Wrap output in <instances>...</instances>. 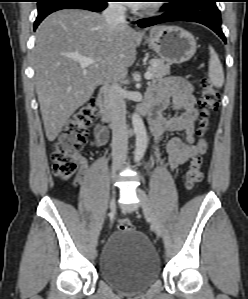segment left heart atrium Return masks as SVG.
Masks as SVG:
<instances>
[{
  "label": "left heart atrium",
  "mask_w": 248,
  "mask_h": 299,
  "mask_svg": "<svg viewBox=\"0 0 248 299\" xmlns=\"http://www.w3.org/2000/svg\"><path fill=\"white\" fill-rule=\"evenodd\" d=\"M143 1L144 0H133V1H130V5L134 6V7H141L145 3Z\"/></svg>",
  "instance_id": "obj_1"
}]
</instances>
